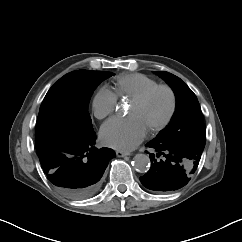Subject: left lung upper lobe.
Returning <instances> with one entry per match:
<instances>
[{
  "mask_svg": "<svg viewBox=\"0 0 242 242\" xmlns=\"http://www.w3.org/2000/svg\"><path fill=\"white\" fill-rule=\"evenodd\" d=\"M155 73L174 91L176 110L169 125L153 140L170 146H192L203 151L206 130L197 97L177 76L164 71Z\"/></svg>",
  "mask_w": 242,
  "mask_h": 242,
  "instance_id": "left-lung-upper-lobe-1",
  "label": "left lung upper lobe"
}]
</instances>
